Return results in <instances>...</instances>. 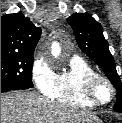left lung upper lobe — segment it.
<instances>
[{"mask_svg":"<svg viewBox=\"0 0 122 123\" xmlns=\"http://www.w3.org/2000/svg\"><path fill=\"white\" fill-rule=\"evenodd\" d=\"M80 49L106 74L117 90L114 111L122 113V83L116 71L108 42L103 36L102 26L88 13H75L67 18Z\"/></svg>","mask_w":122,"mask_h":123,"instance_id":"1","label":"left lung upper lobe"}]
</instances>
